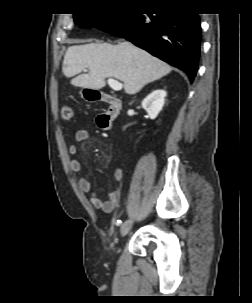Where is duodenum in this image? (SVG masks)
<instances>
[{
    "mask_svg": "<svg viewBox=\"0 0 252 303\" xmlns=\"http://www.w3.org/2000/svg\"><path fill=\"white\" fill-rule=\"evenodd\" d=\"M90 97L92 99L104 101L108 104L107 111L102 113L100 117L105 123L106 129H111L112 122L117 118L122 109L121 101L112 95L100 93L98 91H92Z\"/></svg>",
    "mask_w": 252,
    "mask_h": 303,
    "instance_id": "410a0bca",
    "label": "duodenum"
}]
</instances>
